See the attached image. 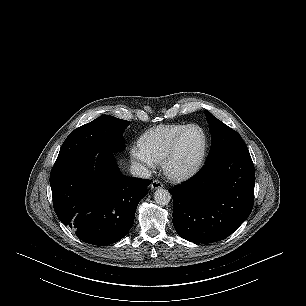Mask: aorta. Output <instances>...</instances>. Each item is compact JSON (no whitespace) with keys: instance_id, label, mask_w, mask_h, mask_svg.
<instances>
[{"instance_id":"762f6f07","label":"aorta","mask_w":306,"mask_h":306,"mask_svg":"<svg viewBox=\"0 0 306 306\" xmlns=\"http://www.w3.org/2000/svg\"><path fill=\"white\" fill-rule=\"evenodd\" d=\"M171 200V195L168 192V190L160 188L158 190L155 191L154 193V201L158 204V205H167Z\"/></svg>"}]
</instances>
